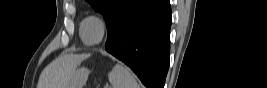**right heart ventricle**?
Listing matches in <instances>:
<instances>
[{"mask_svg": "<svg viewBox=\"0 0 267 88\" xmlns=\"http://www.w3.org/2000/svg\"><path fill=\"white\" fill-rule=\"evenodd\" d=\"M85 19H86V18H85ZM85 19H84V20H85ZM84 20L82 21V23H81V26H80V35H81V29H82V26H83Z\"/></svg>", "mask_w": 267, "mask_h": 88, "instance_id": "obj_1", "label": "right heart ventricle"}]
</instances>
